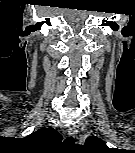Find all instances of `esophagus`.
Masks as SVG:
<instances>
[{
    "label": "esophagus",
    "instance_id": "esophagus-1",
    "mask_svg": "<svg viewBox=\"0 0 135 153\" xmlns=\"http://www.w3.org/2000/svg\"><path fill=\"white\" fill-rule=\"evenodd\" d=\"M77 128L75 126H71L69 129H68V135L75 138L77 136Z\"/></svg>",
    "mask_w": 135,
    "mask_h": 153
}]
</instances>
